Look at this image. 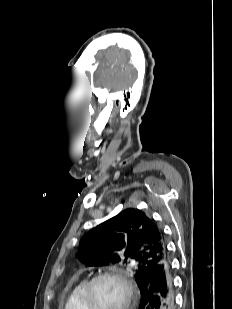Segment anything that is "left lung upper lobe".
I'll return each instance as SVG.
<instances>
[{
    "instance_id": "left-lung-upper-lobe-1",
    "label": "left lung upper lobe",
    "mask_w": 232,
    "mask_h": 309,
    "mask_svg": "<svg viewBox=\"0 0 232 309\" xmlns=\"http://www.w3.org/2000/svg\"><path fill=\"white\" fill-rule=\"evenodd\" d=\"M167 255L162 229L138 209L129 208L91 229L80 241L78 258L88 266L123 261L134 267L140 288L148 271Z\"/></svg>"
}]
</instances>
